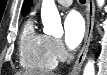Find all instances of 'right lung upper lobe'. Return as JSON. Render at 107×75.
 Instances as JSON below:
<instances>
[{
	"label": "right lung upper lobe",
	"mask_w": 107,
	"mask_h": 75,
	"mask_svg": "<svg viewBox=\"0 0 107 75\" xmlns=\"http://www.w3.org/2000/svg\"><path fill=\"white\" fill-rule=\"evenodd\" d=\"M33 0H25L23 7H22V15L26 16L30 10V7L32 6Z\"/></svg>",
	"instance_id": "cb5924a9"
}]
</instances>
